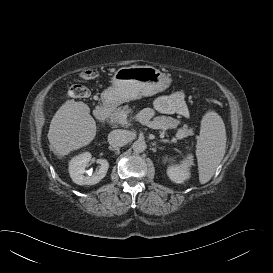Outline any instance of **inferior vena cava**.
I'll list each match as a JSON object with an SVG mask.
<instances>
[{
  "label": "inferior vena cava",
  "mask_w": 273,
  "mask_h": 273,
  "mask_svg": "<svg viewBox=\"0 0 273 273\" xmlns=\"http://www.w3.org/2000/svg\"><path fill=\"white\" fill-rule=\"evenodd\" d=\"M130 141V134L127 130H113L108 135V142L112 147H122Z\"/></svg>",
  "instance_id": "1"
}]
</instances>
